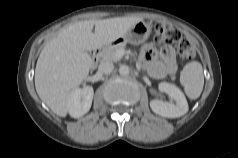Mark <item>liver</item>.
Instances as JSON below:
<instances>
[{
	"label": "liver",
	"mask_w": 238,
	"mask_h": 158,
	"mask_svg": "<svg viewBox=\"0 0 238 158\" xmlns=\"http://www.w3.org/2000/svg\"><path fill=\"white\" fill-rule=\"evenodd\" d=\"M140 21L138 17L92 19L62 28L37 60L35 88L40 99L56 115L65 117L71 93L89 75L92 59L88 51L116 41Z\"/></svg>",
	"instance_id": "1"
}]
</instances>
